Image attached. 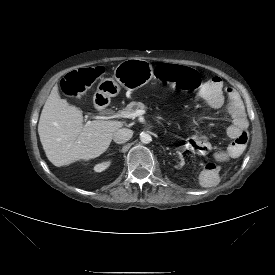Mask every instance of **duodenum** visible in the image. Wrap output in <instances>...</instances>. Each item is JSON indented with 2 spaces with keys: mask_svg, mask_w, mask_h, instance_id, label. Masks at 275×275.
<instances>
[{
  "mask_svg": "<svg viewBox=\"0 0 275 275\" xmlns=\"http://www.w3.org/2000/svg\"><path fill=\"white\" fill-rule=\"evenodd\" d=\"M92 100L95 102L97 110L104 111L108 108L109 97L106 94L95 92L92 95Z\"/></svg>",
  "mask_w": 275,
  "mask_h": 275,
  "instance_id": "obj_1",
  "label": "duodenum"
}]
</instances>
